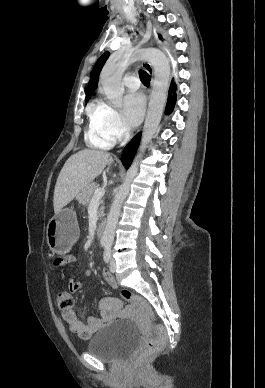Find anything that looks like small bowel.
<instances>
[{"mask_svg": "<svg viewBox=\"0 0 265 388\" xmlns=\"http://www.w3.org/2000/svg\"><path fill=\"white\" fill-rule=\"evenodd\" d=\"M75 262V257L68 256L57 261L56 265L59 267H65ZM103 278L109 287H117V282L110 273L104 272ZM68 287L71 292H77L82 289L81 283L73 278L68 280ZM98 306L101 310V314L89 316L86 322H83L82 314L77 313L73 309L63 310L61 316L73 333L83 339H88L92 337L101 327L109 324L121 314L118 302L113 298L105 297L100 299L98 301Z\"/></svg>", "mask_w": 265, "mask_h": 388, "instance_id": "c3829d8e", "label": "small bowel"}]
</instances>
